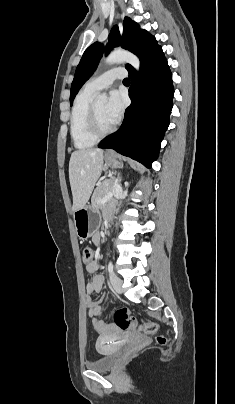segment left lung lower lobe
<instances>
[{"instance_id":"obj_1","label":"left lung lower lobe","mask_w":235,"mask_h":404,"mask_svg":"<svg viewBox=\"0 0 235 404\" xmlns=\"http://www.w3.org/2000/svg\"><path fill=\"white\" fill-rule=\"evenodd\" d=\"M129 77L132 104L126 109L120 129L106 137L99 148H112L151 168L169 126L174 94L162 48L144 59L139 73L129 71Z\"/></svg>"}]
</instances>
